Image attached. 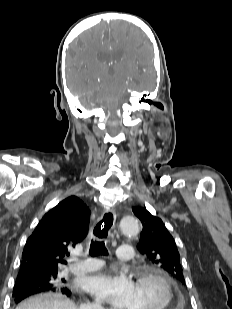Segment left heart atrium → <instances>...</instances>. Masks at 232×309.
Returning <instances> with one entry per match:
<instances>
[{"label": "left heart atrium", "mask_w": 232, "mask_h": 309, "mask_svg": "<svg viewBox=\"0 0 232 309\" xmlns=\"http://www.w3.org/2000/svg\"><path fill=\"white\" fill-rule=\"evenodd\" d=\"M135 283L126 275L115 270L101 272L89 277L86 290L102 302L118 309H130L133 302Z\"/></svg>", "instance_id": "39dd6f15"}]
</instances>
